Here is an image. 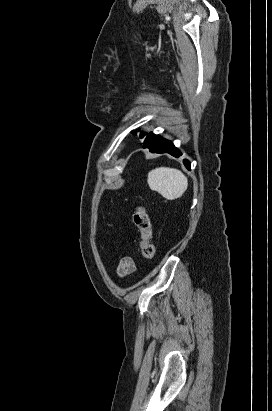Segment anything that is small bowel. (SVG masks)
I'll use <instances>...</instances> for the list:
<instances>
[{
  "label": "small bowel",
  "instance_id": "obj_1",
  "mask_svg": "<svg viewBox=\"0 0 272 411\" xmlns=\"http://www.w3.org/2000/svg\"><path fill=\"white\" fill-rule=\"evenodd\" d=\"M136 265L132 258L123 257L118 265L117 273L120 277H124L128 274H131L135 271Z\"/></svg>",
  "mask_w": 272,
  "mask_h": 411
}]
</instances>
